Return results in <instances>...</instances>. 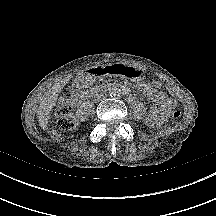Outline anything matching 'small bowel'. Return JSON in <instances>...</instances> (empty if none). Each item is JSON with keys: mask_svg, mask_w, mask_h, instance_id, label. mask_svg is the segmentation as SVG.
Instances as JSON below:
<instances>
[{"mask_svg": "<svg viewBox=\"0 0 216 216\" xmlns=\"http://www.w3.org/2000/svg\"><path fill=\"white\" fill-rule=\"evenodd\" d=\"M137 88L151 101L155 102L147 116V124L158 126L163 124L171 111L176 107V102L165 92L161 91L159 81L143 82L137 85Z\"/></svg>", "mask_w": 216, "mask_h": 216, "instance_id": "c3829d8e", "label": "small bowel"}]
</instances>
